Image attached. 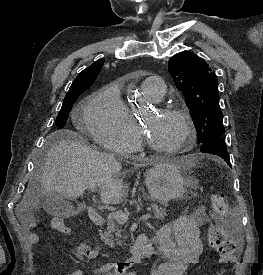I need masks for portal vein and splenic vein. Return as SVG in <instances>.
<instances>
[{
	"instance_id": "1",
	"label": "portal vein and splenic vein",
	"mask_w": 263,
	"mask_h": 275,
	"mask_svg": "<svg viewBox=\"0 0 263 275\" xmlns=\"http://www.w3.org/2000/svg\"><path fill=\"white\" fill-rule=\"evenodd\" d=\"M96 188L94 186L90 187V191L91 192H95ZM151 217V215L149 213L143 215L142 217H140V220H147ZM114 218L116 219V221L120 224H124L128 221V214L122 212V211H117L115 212Z\"/></svg>"
}]
</instances>
